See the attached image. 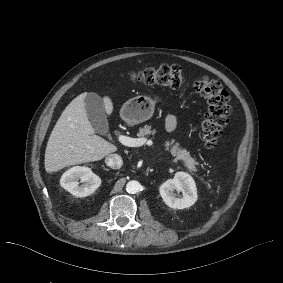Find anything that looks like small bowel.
<instances>
[{
	"mask_svg": "<svg viewBox=\"0 0 283 283\" xmlns=\"http://www.w3.org/2000/svg\"><path fill=\"white\" fill-rule=\"evenodd\" d=\"M165 128L169 133H173L177 128V119L174 115L169 114L165 118Z\"/></svg>",
	"mask_w": 283,
	"mask_h": 283,
	"instance_id": "obj_1",
	"label": "small bowel"
}]
</instances>
